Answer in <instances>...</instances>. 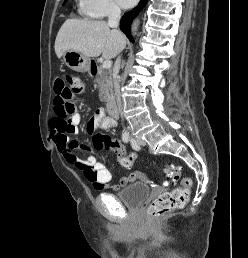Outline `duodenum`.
<instances>
[{"mask_svg": "<svg viewBox=\"0 0 248 258\" xmlns=\"http://www.w3.org/2000/svg\"><path fill=\"white\" fill-rule=\"evenodd\" d=\"M106 109L108 111L109 116L112 119H115L117 117L116 106H115V103H114L113 99H108L106 101Z\"/></svg>", "mask_w": 248, "mask_h": 258, "instance_id": "duodenum-1", "label": "duodenum"}]
</instances>
